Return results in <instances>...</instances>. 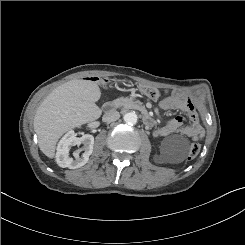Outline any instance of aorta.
<instances>
[{
	"instance_id": "obj_1",
	"label": "aorta",
	"mask_w": 245,
	"mask_h": 245,
	"mask_svg": "<svg viewBox=\"0 0 245 245\" xmlns=\"http://www.w3.org/2000/svg\"><path fill=\"white\" fill-rule=\"evenodd\" d=\"M123 119H124L126 124L134 125L137 123L138 117H137V114L135 112H128V113L124 114Z\"/></svg>"
}]
</instances>
